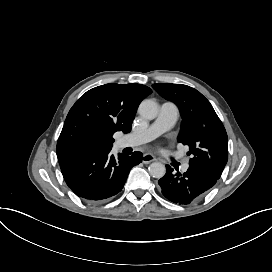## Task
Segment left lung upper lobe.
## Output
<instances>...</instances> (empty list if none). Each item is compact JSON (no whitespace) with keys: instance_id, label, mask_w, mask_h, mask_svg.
Wrapping results in <instances>:
<instances>
[{"instance_id":"1","label":"left lung upper lobe","mask_w":272,"mask_h":272,"mask_svg":"<svg viewBox=\"0 0 272 272\" xmlns=\"http://www.w3.org/2000/svg\"><path fill=\"white\" fill-rule=\"evenodd\" d=\"M153 88L177 104L183 118L178 142L188 145L189 165L201 168L216 178L228 160L227 133L210 102L187 85L158 83Z\"/></svg>"}]
</instances>
